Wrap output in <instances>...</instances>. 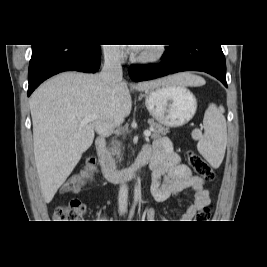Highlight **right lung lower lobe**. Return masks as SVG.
<instances>
[{
	"label": "right lung lower lobe",
	"mask_w": 267,
	"mask_h": 267,
	"mask_svg": "<svg viewBox=\"0 0 267 267\" xmlns=\"http://www.w3.org/2000/svg\"><path fill=\"white\" fill-rule=\"evenodd\" d=\"M100 45H32L28 96L46 79L64 71L95 73L100 67Z\"/></svg>",
	"instance_id": "1"
}]
</instances>
